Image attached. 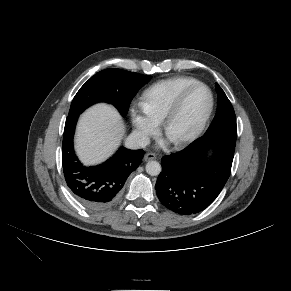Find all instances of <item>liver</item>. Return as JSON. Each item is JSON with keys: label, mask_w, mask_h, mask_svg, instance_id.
<instances>
[{"label": "liver", "mask_w": 291, "mask_h": 291, "mask_svg": "<svg viewBox=\"0 0 291 291\" xmlns=\"http://www.w3.org/2000/svg\"><path fill=\"white\" fill-rule=\"evenodd\" d=\"M124 132L125 127L117 110L105 103L96 104L79 119L76 152L85 165L98 164L115 151Z\"/></svg>", "instance_id": "liver-1"}]
</instances>
